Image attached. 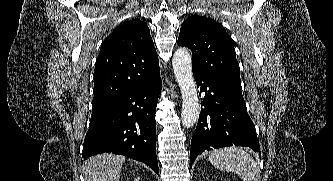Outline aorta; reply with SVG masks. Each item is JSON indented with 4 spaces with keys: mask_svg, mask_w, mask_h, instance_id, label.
Returning <instances> with one entry per match:
<instances>
[{
    "mask_svg": "<svg viewBox=\"0 0 333 181\" xmlns=\"http://www.w3.org/2000/svg\"><path fill=\"white\" fill-rule=\"evenodd\" d=\"M172 66L182 96V125L190 128L196 123L200 114L190 52L185 48L177 49L172 58Z\"/></svg>",
    "mask_w": 333,
    "mask_h": 181,
    "instance_id": "aorta-1",
    "label": "aorta"
}]
</instances>
